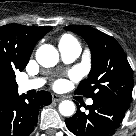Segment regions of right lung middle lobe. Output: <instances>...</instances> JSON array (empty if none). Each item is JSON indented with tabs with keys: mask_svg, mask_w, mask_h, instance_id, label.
<instances>
[{
	"mask_svg": "<svg viewBox=\"0 0 136 136\" xmlns=\"http://www.w3.org/2000/svg\"><path fill=\"white\" fill-rule=\"evenodd\" d=\"M12 80H13V82L16 84V81H15V76H13V79H12Z\"/></svg>",
	"mask_w": 136,
	"mask_h": 136,
	"instance_id": "obj_1",
	"label": "right lung middle lobe"
}]
</instances>
